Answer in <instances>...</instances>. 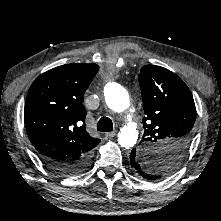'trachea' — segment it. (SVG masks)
<instances>
[{"label": "trachea", "mask_w": 221, "mask_h": 221, "mask_svg": "<svg viewBox=\"0 0 221 221\" xmlns=\"http://www.w3.org/2000/svg\"><path fill=\"white\" fill-rule=\"evenodd\" d=\"M97 130L101 132H111L113 130L112 120L108 117H102L97 123Z\"/></svg>", "instance_id": "3493384b"}]
</instances>
